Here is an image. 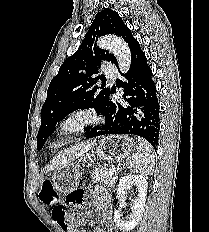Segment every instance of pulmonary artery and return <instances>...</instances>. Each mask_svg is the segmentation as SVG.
<instances>
[{
    "mask_svg": "<svg viewBox=\"0 0 209 232\" xmlns=\"http://www.w3.org/2000/svg\"><path fill=\"white\" fill-rule=\"evenodd\" d=\"M104 74L108 77V78H115L117 75V70L114 66H107L104 70Z\"/></svg>",
    "mask_w": 209,
    "mask_h": 232,
    "instance_id": "1",
    "label": "pulmonary artery"
}]
</instances>
